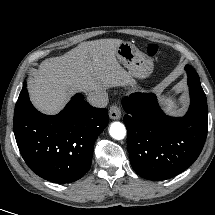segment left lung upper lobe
<instances>
[{
	"mask_svg": "<svg viewBox=\"0 0 215 215\" xmlns=\"http://www.w3.org/2000/svg\"><path fill=\"white\" fill-rule=\"evenodd\" d=\"M185 70H186L188 73L193 74V75H192L193 78H199L198 74L196 73V71H195L191 66L187 65V66L185 67Z\"/></svg>",
	"mask_w": 215,
	"mask_h": 215,
	"instance_id": "5c2ea615",
	"label": "left lung upper lobe"
}]
</instances>
